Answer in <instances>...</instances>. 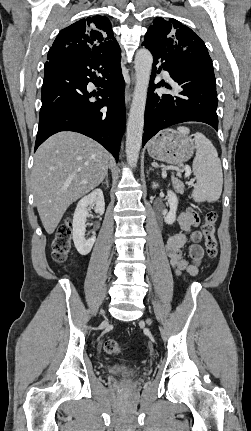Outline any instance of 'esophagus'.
Returning a JSON list of instances; mask_svg holds the SVG:
<instances>
[{
    "label": "esophagus",
    "mask_w": 251,
    "mask_h": 431,
    "mask_svg": "<svg viewBox=\"0 0 251 431\" xmlns=\"http://www.w3.org/2000/svg\"><path fill=\"white\" fill-rule=\"evenodd\" d=\"M131 96H132V93L130 91H126L125 92V102H126V105L129 104V102L131 100Z\"/></svg>",
    "instance_id": "1"
}]
</instances>
